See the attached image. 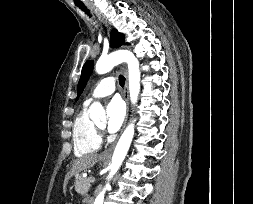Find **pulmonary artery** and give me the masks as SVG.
Returning a JSON list of instances; mask_svg holds the SVG:
<instances>
[{
    "mask_svg": "<svg viewBox=\"0 0 253 204\" xmlns=\"http://www.w3.org/2000/svg\"><path fill=\"white\" fill-rule=\"evenodd\" d=\"M115 86V77L110 76L103 78L86 99L85 104L88 105L94 100L111 95L115 91Z\"/></svg>",
    "mask_w": 253,
    "mask_h": 204,
    "instance_id": "e3ab8cb5",
    "label": "pulmonary artery"
}]
</instances>
